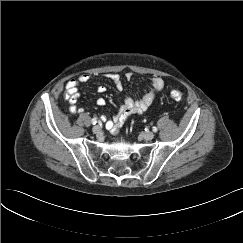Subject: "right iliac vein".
Here are the masks:
<instances>
[{"instance_id": "63e3f726", "label": "right iliac vein", "mask_w": 243, "mask_h": 243, "mask_svg": "<svg viewBox=\"0 0 243 243\" xmlns=\"http://www.w3.org/2000/svg\"><path fill=\"white\" fill-rule=\"evenodd\" d=\"M92 131L94 134L98 135L101 133V127L99 125H96L93 127Z\"/></svg>"}]
</instances>
